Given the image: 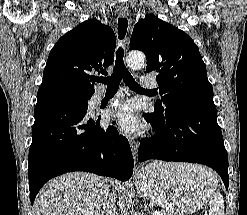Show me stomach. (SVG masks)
Listing matches in <instances>:
<instances>
[{
	"label": "stomach",
	"mask_w": 247,
	"mask_h": 215,
	"mask_svg": "<svg viewBox=\"0 0 247 215\" xmlns=\"http://www.w3.org/2000/svg\"><path fill=\"white\" fill-rule=\"evenodd\" d=\"M195 166L153 162L137 174L136 188L172 215L191 214L203 206L216 187L215 175Z\"/></svg>",
	"instance_id": "obj_1"
}]
</instances>
